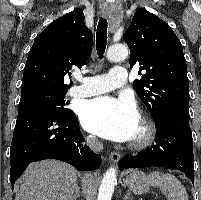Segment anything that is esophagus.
<instances>
[{
    "instance_id": "1",
    "label": "esophagus",
    "mask_w": 201,
    "mask_h": 200,
    "mask_svg": "<svg viewBox=\"0 0 201 200\" xmlns=\"http://www.w3.org/2000/svg\"><path fill=\"white\" fill-rule=\"evenodd\" d=\"M111 13H112V11L110 9H105L103 11V16L110 17ZM120 158H121V154L119 152H111V154L109 156V159L114 163L118 162L120 160Z\"/></svg>"
}]
</instances>
